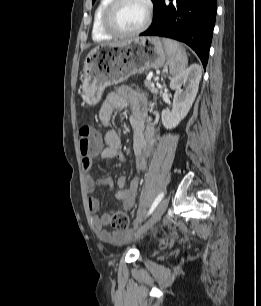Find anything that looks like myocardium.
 <instances>
[{"mask_svg": "<svg viewBox=\"0 0 261 306\" xmlns=\"http://www.w3.org/2000/svg\"><path fill=\"white\" fill-rule=\"evenodd\" d=\"M123 1L124 0H110V2L107 4L102 14V19H101L102 26L104 30L107 33L111 34L112 36L132 37V36L138 35L141 32H143L145 29H147V27L150 25L152 14H153L152 3L150 0H141V2L144 4L145 9H146V15H145L144 21L136 29L132 31H124V30L119 29L113 21L114 12Z\"/></svg>", "mask_w": 261, "mask_h": 306, "instance_id": "f54148a6", "label": "myocardium"}]
</instances>
